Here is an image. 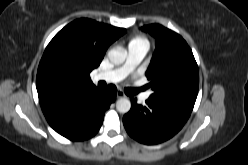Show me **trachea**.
<instances>
[{
	"mask_svg": "<svg viewBox=\"0 0 248 165\" xmlns=\"http://www.w3.org/2000/svg\"><path fill=\"white\" fill-rule=\"evenodd\" d=\"M138 91H139V90H137V89H132V88H127V89H125V93H126L127 95H130V96L137 94Z\"/></svg>",
	"mask_w": 248,
	"mask_h": 165,
	"instance_id": "1",
	"label": "trachea"
}]
</instances>
